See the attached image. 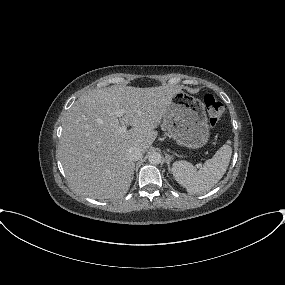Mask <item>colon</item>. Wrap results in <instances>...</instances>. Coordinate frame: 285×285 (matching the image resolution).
<instances>
[{"label": "colon", "instance_id": "obj_1", "mask_svg": "<svg viewBox=\"0 0 285 285\" xmlns=\"http://www.w3.org/2000/svg\"><path fill=\"white\" fill-rule=\"evenodd\" d=\"M203 103L207 111L208 124L211 128H215L222 117L223 106L212 94H205Z\"/></svg>", "mask_w": 285, "mask_h": 285}]
</instances>
